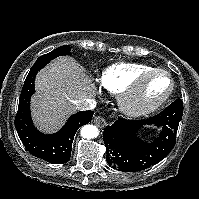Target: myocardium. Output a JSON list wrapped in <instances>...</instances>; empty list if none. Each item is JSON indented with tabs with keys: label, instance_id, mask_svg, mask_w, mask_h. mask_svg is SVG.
Returning <instances> with one entry per match:
<instances>
[{
	"label": "myocardium",
	"instance_id": "f54148a6",
	"mask_svg": "<svg viewBox=\"0 0 199 199\" xmlns=\"http://www.w3.org/2000/svg\"><path fill=\"white\" fill-rule=\"evenodd\" d=\"M164 75L170 80L169 90L156 101H145L141 98L143 88L153 76ZM175 80L173 76L163 69H152L137 76V78L125 89L120 96L122 110L129 116L139 117L154 112L160 108L173 94Z\"/></svg>",
	"mask_w": 199,
	"mask_h": 199
}]
</instances>
